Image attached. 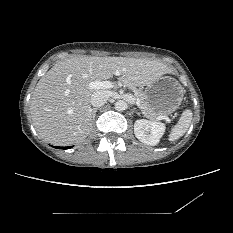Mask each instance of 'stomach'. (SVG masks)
I'll return each mask as SVG.
<instances>
[{
    "label": "stomach",
    "instance_id": "0dacf381",
    "mask_svg": "<svg viewBox=\"0 0 233 233\" xmlns=\"http://www.w3.org/2000/svg\"><path fill=\"white\" fill-rule=\"evenodd\" d=\"M181 84L171 76H163L144 90L147 105L158 115H169L181 104L184 96Z\"/></svg>",
    "mask_w": 233,
    "mask_h": 233
}]
</instances>
